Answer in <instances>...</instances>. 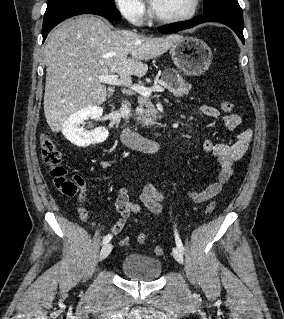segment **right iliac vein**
<instances>
[{"label": "right iliac vein", "mask_w": 284, "mask_h": 319, "mask_svg": "<svg viewBox=\"0 0 284 319\" xmlns=\"http://www.w3.org/2000/svg\"><path fill=\"white\" fill-rule=\"evenodd\" d=\"M111 250H112V244L106 243L100 251L99 260L100 261L104 260L110 254Z\"/></svg>", "instance_id": "1"}]
</instances>
